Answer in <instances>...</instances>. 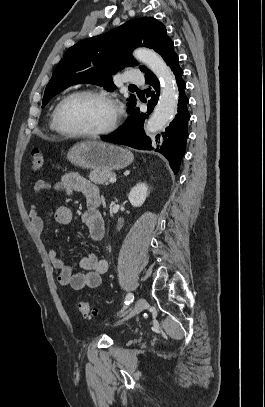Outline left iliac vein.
<instances>
[{"instance_id": "1", "label": "left iliac vein", "mask_w": 265, "mask_h": 407, "mask_svg": "<svg viewBox=\"0 0 265 407\" xmlns=\"http://www.w3.org/2000/svg\"><path fill=\"white\" fill-rule=\"evenodd\" d=\"M146 307V300L144 298H139L137 300V302L135 303V305L133 306V308L131 309V311L129 312V314L124 317L122 320H120L118 323H121L137 314H139L141 311L144 310V308Z\"/></svg>"}]
</instances>
